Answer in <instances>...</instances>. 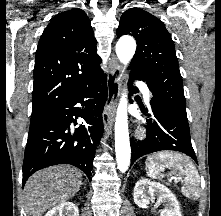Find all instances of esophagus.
I'll use <instances>...</instances> for the list:
<instances>
[{"label": "esophagus", "mask_w": 221, "mask_h": 216, "mask_svg": "<svg viewBox=\"0 0 221 216\" xmlns=\"http://www.w3.org/2000/svg\"><path fill=\"white\" fill-rule=\"evenodd\" d=\"M113 67L107 75V101L102 114L104 129L111 134L112 123L114 121L117 99L120 94L123 70L117 58L112 57Z\"/></svg>", "instance_id": "1"}]
</instances>
